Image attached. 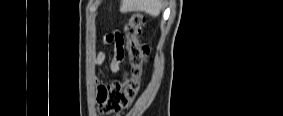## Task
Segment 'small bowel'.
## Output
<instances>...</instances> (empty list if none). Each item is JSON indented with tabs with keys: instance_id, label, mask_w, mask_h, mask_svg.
<instances>
[{
	"instance_id": "obj_1",
	"label": "small bowel",
	"mask_w": 283,
	"mask_h": 116,
	"mask_svg": "<svg viewBox=\"0 0 283 116\" xmlns=\"http://www.w3.org/2000/svg\"><path fill=\"white\" fill-rule=\"evenodd\" d=\"M112 42H115L116 44V49H115V55L113 56V58L110 61L109 64V68L110 71L114 74L118 73L120 70V66L121 63L123 61V57H124V49H123V45L122 42L120 40V36L117 33L114 34H104L102 36V44L103 46H107L109 44H111ZM106 60V53L104 50H100L98 51L95 59H94V63L96 66H101L104 64Z\"/></svg>"
}]
</instances>
